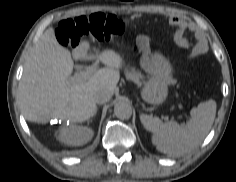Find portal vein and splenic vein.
<instances>
[{"label": "portal vein and splenic vein", "instance_id": "1", "mask_svg": "<svg viewBox=\"0 0 236 182\" xmlns=\"http://www.w3.org/2000/svg\"><path fill=\"white\" fill-rule=\"evenodd\" d=\"M97 71H98V70H97L96 67H88V68H86V69L81 70V71L78 73V77L87 79V78L90 77L91 75L95 74Z\"/></svg>", "mask_w": 236, "mask_h": 182}]
</instances>
